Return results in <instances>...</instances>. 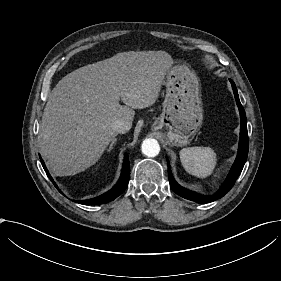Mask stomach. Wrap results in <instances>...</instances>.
Segmentation results:
<instances>
[{"mask_svg": "<svg viewBox=\"0 0 281 281\" xmlns=\"http://www.w3.org/2000/svg\"><path fill=\"white\" fill-rule=\"evenodd\" d=\"M163 111L152 128L159 131L170 146L189 144L203 121L200 82L186 64L176 65L166 73Z\"/></svg>", "mask_w": 281, "mask_h": 281, "instance_id": "0dacf381", "label": "stomach"}]
</instances>
